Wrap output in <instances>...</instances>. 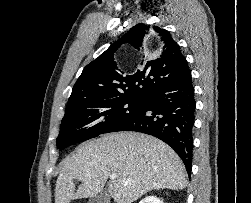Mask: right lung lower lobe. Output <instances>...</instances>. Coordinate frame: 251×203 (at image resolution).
<instances>
[{
    "label": "right lung lower lobe",
    "mask_w": 251,
    "mask_h": 203,
    "mask_svg": "<svg viewBox=\"0 0 251 203\" xmlns=\"http://www.w3.org/2000/svg\"><path fill=\"white\" fill-rule=\"evenodd\" d=\"M196 101L188 68L177 79L151 91L143 106L112 132L137 131L155 136L171 146L191 174Z\"/></svg>",
    "instance_id": "1"
}]
</instances>
